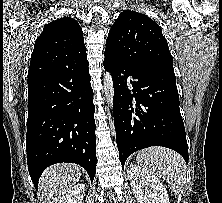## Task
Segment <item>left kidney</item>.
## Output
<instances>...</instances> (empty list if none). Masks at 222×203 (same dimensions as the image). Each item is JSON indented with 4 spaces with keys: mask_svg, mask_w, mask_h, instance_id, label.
<instances>
[{
    "mask_svg": "<svg viewBox=\"0 0 222 203\" xmlns=\"http://www.w3.org/2000/svg\"><path fill=\"white\" fill-rule=\"evenodd\" d=\"M127 174L138 203H170L166 188L147 169L130 164Z\"/></svg>",
    "mask_w": 222,
    "mask_h": 203,
    "instance_id": "left-kidney-1",
    "label": "left kidney"
}]
</instances>
